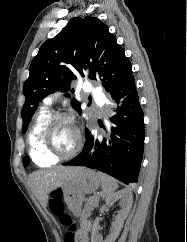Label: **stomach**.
<instances>
[{
    "mask_svg": "<svg viewBox=\"0 0 187 242\" xmlns=\"http://www.w3.org/2000/svg\"><path fill=\"white\" fill-rule=\"evenodd\" d=\"M98 174L91 169L81 167L69 180L68 186L63 191V199L73 215L81 213V206L85 194L94 193L100 186Z\"/></svg>",
    "mask_w": 187,
    "mask_h": 242,
    "instance_id": "0dacf381",
    "label": "stomach"
}]
</instances>
